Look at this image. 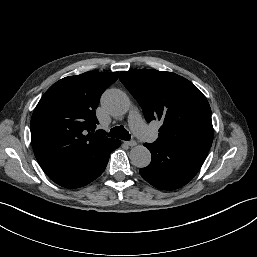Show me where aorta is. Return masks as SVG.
Segmentation results:
<instances>
[{
  "label": "aorta",
  "instance_id": "aorta-1",
  "mask_svg": "<svg viewBox=\"0 0 257 257\" xmlns=\"http://www.w3.org/2000/svg\"><path fill=\"white\" fill-rule=\"evenodd\" d=\"M101 105L108 114L118 117L128 112L130 101L123 91L109 89L102 95ZM129 158L134 166L144 168L151 162V153L143 145H137L131 149Z\"/></svg>",
  "mask_w": 257,
  "mask_h": 257
}]
</instances>
